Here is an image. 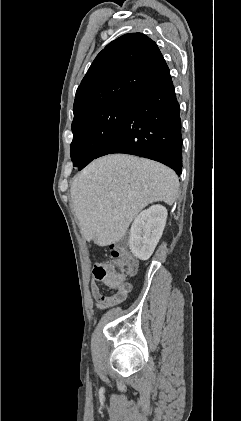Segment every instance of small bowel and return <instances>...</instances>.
<instances>
[{
	"label": "small bowel",
	"instance_id": "c3829d8e",
	"mask_svg": "<svg viewBox=\"0 0 241 421\" xmlns=\"http://www.w3.org/2000/svg\"><path fill=\"white\" fill-rule=\"evenodd\" d=\"M104 284L116 291L112 295H105L100 291L98 285L94 281H91L89 285L90 292L95 300V306L98 309H105L121 304L127 298L128 293L131 290L130 284L128 287H115L107 282H104Z\"/></svg>",
	"mask_w": 241,
	"mask_h": 421
}]
</instances>
